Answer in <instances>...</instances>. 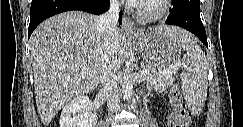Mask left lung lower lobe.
Listing matches in <instances>:
<instances>
[{"label":"left lung lower lobe","instance_id":"1","mask_svg":"<svg viewBox=\"0 0 243 127\" xmlns=\"http://www.w3.org/2000/svg\"><path fill=\"white\" fill-rule=\"evenodd\" d=\"M170 9L166 24L176 25L195 34L208 47L205 28L200 18L199 0H176Z\"/></svg>","mask_w":243,"mask_h":127}]
</instances>
